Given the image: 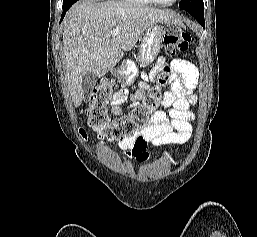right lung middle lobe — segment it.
<instances>
[{
    "instance_id": "dd1d6c3e",
    "label": "right lung middle lobe",
    "mask_w": 257,
    "mask_h": 237,
    "mask_svg": "<svg viewBox=\"0 0 257 237\" xmlns=\"http://www.w3.org/2000/svg\"><path fill=\"white\" fill-rule=\"evenodd\" d=\"M78 0H63V9L70 8Z\"/></svg>"
}]
</instances>
